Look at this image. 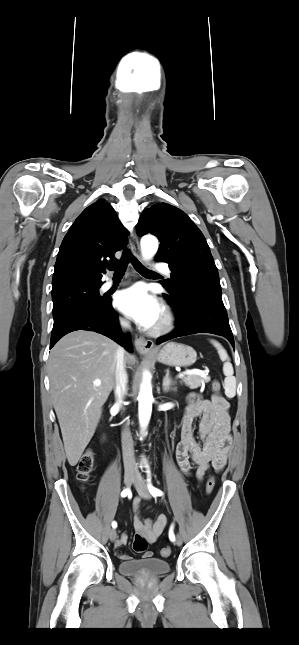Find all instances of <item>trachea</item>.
Listing matches in <instances>:
<instances>
[{"instance_id":"trachea-1","label":"trachea","mask_w":299,"mask_h":645,"mask_svg":"<svg viewBox=\"0 0 299 645\" xmlns=\"http://www.w3.org/2000/svg\"><path fill=\"white\" fill-rule=\"evenodd\" d=\"M132 262L134 265L135 269L142 275H153L156 274V272H153L152 270L147 269L144 267L137 259H135L132 254L130 253L129 250H124L123 254L121 256V259L115 263V264H108L107 268L110 271H114V276H122L124 275L127 265L129 262Z\"/></svg>"}]
</instances>
